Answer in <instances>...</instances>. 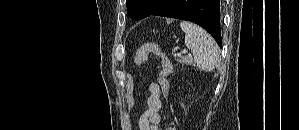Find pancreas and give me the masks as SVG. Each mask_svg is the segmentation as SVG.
Here are the masks:
<instances>
[{"label":"pancreas","mask_w":299,"mask_h":130,"mask_svg":"<svg viewBox=\"0 0 299 130\" xmlns=\"http://www.w3.org/2000/svg\"><path fill=\"white\" fill-rule=\"evenodd\" d=\"M177 63L191 65L193 63L191 56H182L175 59Z\"/></svg>","instance_id":"obj_1"}]
</instances>
